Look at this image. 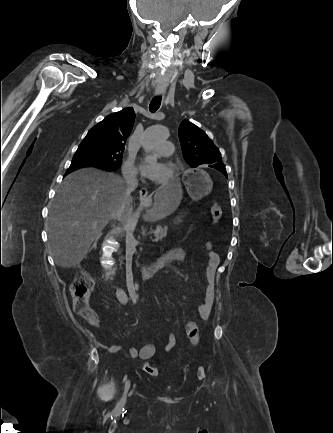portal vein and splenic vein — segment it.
<instances>
[{
	"mask_svg": "<svg viewBox=\"0 0 333 433\" xmlns=\"http://www.w3.org/2000/svg\"><path fill=\"white\" fill-rule=\"evenodd\" d=\"M158 241H159V238L155 235L154 242H158Z\"/></svg>",
	"mask_w": 333,
	"mask_h": 433,
	"instance_id": "1",
	"label": "portal vein and splenic vein"
}]
</instances>
